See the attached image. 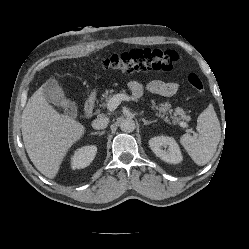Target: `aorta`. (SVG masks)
I'll return each instance as SVG.
<instances>
[{"instance_id":"762f6f07","label":"aorta","mask_w":249,"mask_h":249,"mask_svg":"<svg viewBox=\"0 0 249 249\" xmlns=\"http://www.w3.org/2000/svg\"><path fill=\"white\" fill-rule=\"evenodd\" d=\"M135 128H136L135 122L130 118L123 119L120 122V129L123 132L130 133V132H133Z\"/></svg>"}]
</instances>
